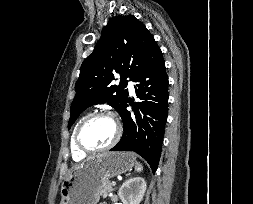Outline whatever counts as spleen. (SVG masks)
Masks as SVG:
<instances>
[{"instance_id":"obj_1","label":"spleen","mask_w":253,"mask_h":204,"mask_svg":"<svg viewBox=\"0 0 253 204\" xmlns=\"http://www.w3.org/2000/svg\"><path fill=\"white\" fill-rule=\"evenodd\" d=\"M135 170H136L137 172H141V171L143 170L142 164H140L139 162H136Z\"/></svg>"}]
</instances>
